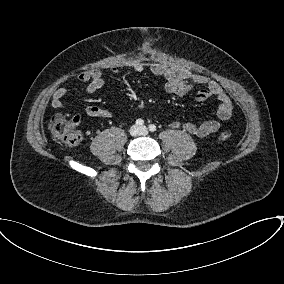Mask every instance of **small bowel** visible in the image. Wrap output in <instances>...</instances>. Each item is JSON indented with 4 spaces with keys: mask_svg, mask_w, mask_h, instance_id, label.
Here are the masks:
<instances>
[{
    "mask_svg": "<svg viewBox=\"0 0 284 284\" xmlns=\"http://www.w3.org/2000/svg\"><path fill=\"white\" fill-rule=\"evenodd\" d=\"M132 71L142 73L146 70V65L142 62L135 61L129 65ZM151 73L165 79V90L172 95L183 96L190 92L195 86H203L198 90L195 99L198 102H204L210 98L218 101L217 118L218 120H206L200 124L191 122L182 123L178 120L172 121L170 126L174 129H183L199 138H204L220 129V121H227L233 113V105L230 97L224 91L221 85L210 79L208 76L194 74L184 68L169 67L159 63H154L149 67ZM117 73L118 69H112ZM79 82L88 83L86 87L87 94H94L104 85L102 71L92 69L80 73L77 77ZM68 89L65 87L58 88L52 97V107L61 109L63 107V98L67 95ZM85 112L88 116L107 118L111 113L94 105H87Z\"/></svg>",
    "mask_w": 284,
    "mask_h": 284,
    "instance_id": "small-bowel-1",
    "label": "small bowel"
}]
</instances>
